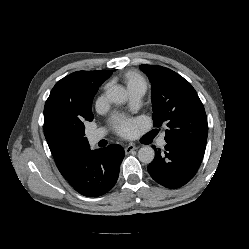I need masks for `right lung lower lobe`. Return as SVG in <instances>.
<instances>
[{"instance_id": "1", "label": "right lung lower lobe", "mask_w": 249, "mask_h": 249, "mask_svg": "<svg viewBox=\"0 0 249 249\" xmlns=\"http://www.w3.org/2000/svg\"><path fill=\"white\" fill-rule=\"evenodd\" d=\"M123 158L124 149L118 144L95 151L90 147L81 148L69 155L59 171L77 192L98 197L115 185Z\"/></svg>"}]
</instances>
